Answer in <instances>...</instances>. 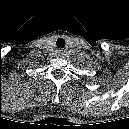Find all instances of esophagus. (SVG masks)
<instances>
[{"instance_id":"obj_1","label":"esophagus","mask_w":129,"mask_h":129,"mask_svg":"<svg viewBox=\"0 0 129 129\" xmlns=\"http://www.w3.org/2000/svg\"><path fill=\"white\" fill-rule=\"evenodd\" d=\"M64 52H65L64 50H59V55L60 56L64 55Z\"/></svg>"}]
</instances>
